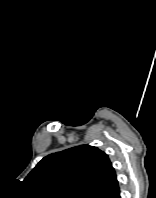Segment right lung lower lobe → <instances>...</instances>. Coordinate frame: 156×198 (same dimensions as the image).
Masks as SVG:
<instances>
[{
	"mask_svg": "<svg viewBox=\"0 0 156 198\" xmlns=\"http://www.w3.org/2000/svg\"><path fill=\"white\" fill-rule=\"evenodd\" d=\"M117 198H120V194H119V196H117Z\"/></svg>",
	"mask_w": 156,
	"mask_h": 198,
	"instance_id": "98d812e1",
	"label": "right lung lower lobe"
}]
</instances>
